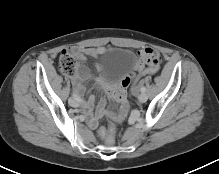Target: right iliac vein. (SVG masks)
<instances>
[{"instance_id": "obj_1", "label": "right iliac vein", "mask_w": 219, "mask_h": 174, "mask_svg": "<svg viewBox=\"0 0 219 174\" xmlns=\"http://www.w3.org/2000/svg\"><path fill=\"white\" fill-rule=\"evenodd\" d=\"M68 103L72 106V107H77L79 104H78V101L74 98V97H70L69 100H68Z\"/></svg>"}]
</instances>
